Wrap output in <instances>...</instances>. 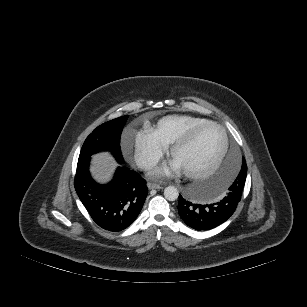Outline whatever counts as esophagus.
Segmentation results:
<instances>
[{
  "label": "esophagus",
  "instance_id": "esophagus-1",
  "mask_svg": "<svg viewBox=\"0 0 307 307\" xmlns=\"http://www.w3.org/2000/svg\"><path fill=\"white\" fill-rule=\"evenodd\" d=\"M147 186H148L149 189H161V188H162L161 185L156 184V183H151V182H149V183L147 184Z\"/></svg>",
  "mask_w": 307,
  "mask_h": 307
}]
</instances>
